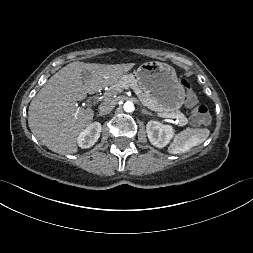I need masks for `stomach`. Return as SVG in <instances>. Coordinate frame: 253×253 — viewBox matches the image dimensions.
<instances>
[{
	"label": "stomach",
	"mask_w": 253,
	"mask_h": 253,
	"mask_svg": "<svg viewBox=\"0 0 253 253\" xmlns=\"http://www.w3.org/2000/svg\"><path fill=\"white\" fill-rule=\"evenodd\" d=\"M139 87L163 109L177 112L185 102L186 92L175 69L162 62H147L135 71Z\"/></svg>",
	"instance_id": "obj_1"
}]
</instances>
